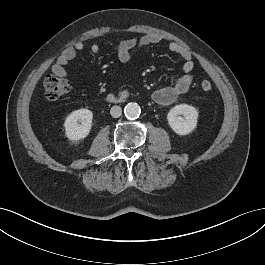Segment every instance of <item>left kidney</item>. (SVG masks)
Returning <instances> with one entry per match:
<instances>
[{
  "label": "left kidney",
  "mask_w": 265,
  "mask_h": 265,
  "mask_svg": "<svg viewBox=\"0 0 265 265\" xmlns=\"http://www.w3.org/2000/svg\"><path fill=\"white\" fill-rule=\"evenodd\" d=\"M182 115L183 117H181ZM198 111L188 104H180L171 108L167 115L171 129L178 135H188L197 126Z\"/></svg>",
  "instance_id": "5707ae66"
}]
</instances>
